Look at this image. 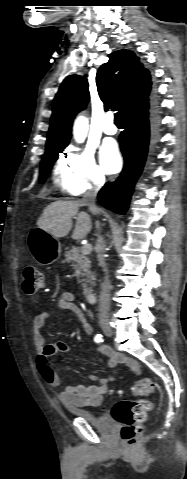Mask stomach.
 <instances>
[{
  "label": "stomach",
  "mask_w": 187,
  "mask_h": 479,
  "mask_svg": "<svg viewBox=\"0 0 187 479\" xmlns=\"http://www.w3.org/2000/svg\"><path fill=\"white\" fill-rule=\"evenodd\" d=\"M27 242L34 260L42 266L50 265L60 258L61 244L59 240L40 228L29 232Z\"/></svg>",
  "instance_id": "1"
}]
</instances>
